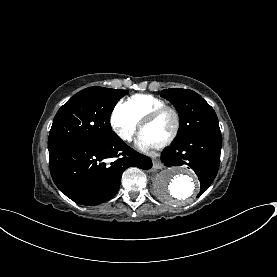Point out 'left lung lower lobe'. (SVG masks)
Returning <instances> with one entry per match:
<instances>
[{"label": "left lung lower lobe", "instance_id": "0a47b994", "mask_svg": "<svg viewBox=\"0 0 277 277\" xmlns=\"http://www.w3.org/2000/svg\"><path fill=\"white\" fill-rule=\"evenodd\" d=\"M222 147L220 131H208L175 141L161 154L165 166L188 165L197 174L200 183V196L215 179Z\"/></svg>", "mask_w": 277, "mask_h": 277}]
</instances>
